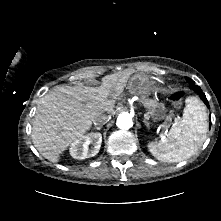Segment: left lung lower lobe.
<instances>
[{"label": "left lung lower lobe", "mask_w": 221, "mask_h": 221, "mask_svg": "<svg viewBox=\"0 0 221 221\" xmlns=\"http://www.w3.org/2000/svg\"><path fill=\"white\" fill-rule=\"evenodd\" d=\"M191 88L194 89L200 96V98L202 99V101L206 104V106L209 108V103L206 99L205 94L202 92L201 88L197 85H195L194 83H191Z\"/></svg>", "instance_id": "0a47b994"}]
</instances>
